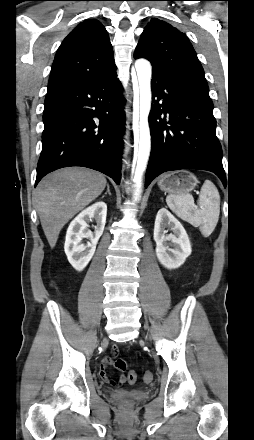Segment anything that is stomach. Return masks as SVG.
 Returning a JSON list of instances; mask_svg holds the SVG:
<instances>
[{
    "label": "stomach",
    "instance_id": "1",
    "mask_svg": "<svg viewBox=\"0 0 254 440\" xmlns=\"http://www.w3.org/2000/svg\"><path fill=\"white\" fill-rule=\"evenodd\" d=\"M198 183L196 176L186 170H179L163 175L158 185L161 190L172 195L186 194L192 191Z\"/></svg>",
    "mask_w": 254,
    "mask_h": 440
}]
</instances>
